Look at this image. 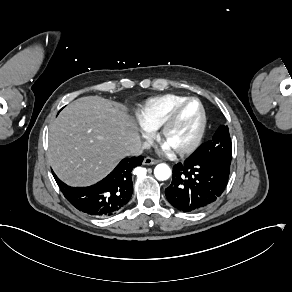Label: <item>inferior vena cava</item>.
Wrapping results in <instances>:
<instances>
[{
  "instance_id": "602c4592",
  "label": "inferior vena cava",
  "mask_w": 292,
  "mask_h": 292,
  "mask_svg": "<svg viewBox=\"0 0 292 292\" xmlns=\"http://www.w3.org/2000/svg\"><path fill=\"white\" fill-rule=\"evenodd\" d=\"M151 143L148 141H145L140 147L133 148L130 150V152L127 153V155H132V156H138L141 155L144 149H150Z\"/></svg>"
}]
</instances>
